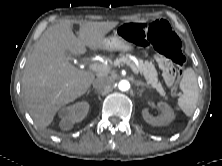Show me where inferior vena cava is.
Masks as SVG:
<instances>
[{"instance_id": "obj_1", "label": "inferior vena cava", "mask_w": 222, "mask_h": 166, "mask_svg": "<svg viewBox=\"0 0 222 166\" xmlns=\"http://www.w3.org/2000/svg\"><path fill=\"white\" fill-rule=\"evenodd\" d=\"M111 85V80L107 77H98L93 81V87L97 90H107Z\"/></svg>"}]
</instances>
